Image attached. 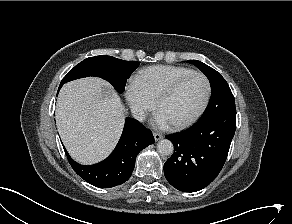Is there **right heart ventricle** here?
<instances>
[{
	"instance_id": "e07e8e85",
	"label": "right heart ventricle",
	"mask_w": 292,
	"mask_h": 224,
	"mask_svg": "<svg viewBox=\"0 0 292 224\" xmlns=\"http://www.w3.org/2000/svg\"><path fill=\"white\" fill-rule=\"evenodd\" d=\"M192 72L195 71L183 66L156 65L139 71L134 81L154 102L172 83Z\"/></svg>"
}]
</instances>
